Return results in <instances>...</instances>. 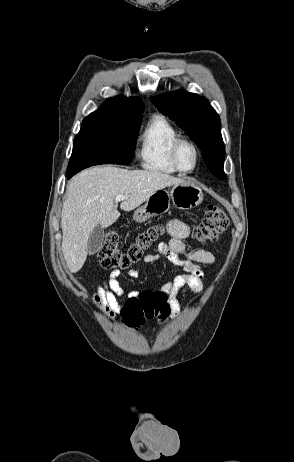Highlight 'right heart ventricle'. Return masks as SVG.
Segmentation results:
<instances>
[{
  "label": "right heart ventricle",
  "instance_id": "1",
  "mask_svg": "<svg viewBox=\"0 0 294 462\" xmlns=\"http://www.w3.org/2000/svg\"><path fill=\"white\" fill-rule=\"evenodd\" d=\"M179 137L177 129L166 117L153 116L140 134L138 150L140 165L154 173H177L170 160V149Z\"/></svg>",
  "mask_w": 294,
  "mask_h": 462
}]
</instances>
